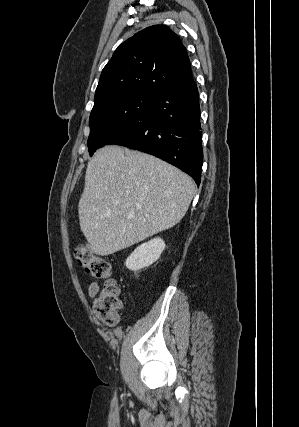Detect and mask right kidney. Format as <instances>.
<instances>
[{
  "mask_svg": "<svg viewBox=\"0 0 299 427\" xmlns=\"http://www.w3.org/2000/svg\"><path fill=\"white\" fill-rule=\"evenodd\" d=\"M165 249L161 238H154L137 247L126 259L125 265L129 270L139 271L157 261Z\"/></svg>",
  "mask_w": 299,
  "mask_h": 427,
  "instance_id": "1",
  "label": "right kidney"
}]
</instances>
